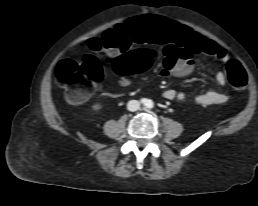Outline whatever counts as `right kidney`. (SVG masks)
<instances>
[{
	"label": "right kidney",
	"mask_w": 258,
	"mask_h": 206,
	"mask_svg": "<svg viewBox=\"0 0 258 206\" xmlns=\"http://www.w3.org/2000/svg\"><path fill=\"white\" fill-rule=\"evenodd\" d=\"M94 110H99L100 109V106L99 105H94Z\"/></svg>",
	"instance_id": "right-kidney-1"
}]
</instances>
